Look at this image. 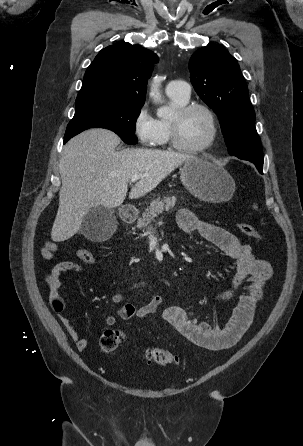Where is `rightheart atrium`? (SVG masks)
<instances>
[{"label":"right heart atrium","instance_id":"d8ad5b80","mask_svg":"<svg viewBox=\"0 0 303 446\" xmlns=\"http://www.w3.org/2000/svg\"><path fill=\"white\" fill-rule=\"evenodd\" d=\"M134 134L143 146L155 145L159 137L157 119L151 114L147 104H143L133 120Z\"/></svg>","mask_w":303,"mask_h":446}]
</instances>
